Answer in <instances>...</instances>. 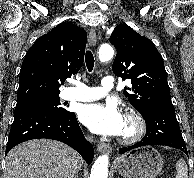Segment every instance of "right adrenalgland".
Wrapping results in <instances>:
<instances>
[{"label": "right adrenal gland", "mask_w": 194, "mask_h": 178, "mask_svg": "<svg viewBox=\"0 0 194 178\" xmlns=\"http://www.w3.org/2000/svg\"><path fill=\"white\" fill-rule=\"evenodd\" d=\"M74 178H79L78 175H75Z\"/></svg>", "instance_id": "2a0ac1e0"}]
</instances>
